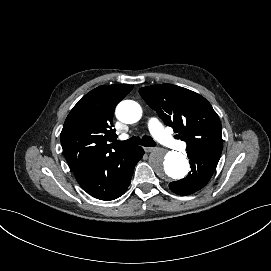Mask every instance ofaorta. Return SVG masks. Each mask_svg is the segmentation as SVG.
Instances as JSON below:
<instances>
[{"label": "aorta", "instance_id": "762f6f07", "mask_svg": "<svg viewBox=\"0 0 271 271\" xmlns=\"http://www.w3.org/2000/svg\"><path fill=\"white\" fill-rule=\"evenodd\" d=\"M116 116L123 123H136L142 116V109L137 102L125 100L118 104ZM149 163L156 174L164 179H181L190 168L185 155L177 151L155 150L149 156Z\"/></svg>", "mask_w": 271, "mask_h": 271}]
</instances>
